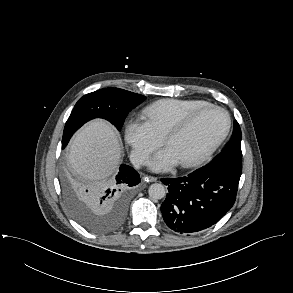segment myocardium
I'll return each mask as SVG.
<instances>
[{
	"label": "myocardium",
	"instance_id": "f54148a6",
	"mask_svg": "<svg viewBox=\"0 0 293 293\" xmlns=\"http://www.w3.org/2000/svg\"><path fill=\"white\" fill-rule=\"evenodd\" d=\"M213 109L222 112L226 117V126L224 131L220 134V136L215 139L202 153H200L198 156L179 163L181 167L183 168H192L196 167L202 163H204L207 159H209L212 154L217 150V148L222 144V142L226 139L228 136L230 129H231V117L228 111L220 106L214 105V104H207L200 108H197L193 110L192 112L188 113L186 116H184L180 121L173 124L165 133L164 135V142L166 145L170 142V140L180 134H182L194 121V119L199 116L201 113H203L206 110Z\"/></svg>",
	"mask_w": 293,
	"mask_h": 293
}]
</instances>
